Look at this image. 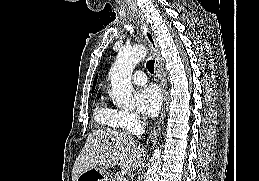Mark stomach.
Returning <instances> with one entry per match:
<instances>
[{
    "mask_svg": "<svg viewBox=\"0 0 259 181\" xmlns=\"http://www.w3.org/2000/svg\"><path fill=\"white\" fill-rule=\"evenodd\" d=\"M77 181H110V173L108 169L93 167L80 174Z\"/></svg>",
    "mask_w": 259,
    "mask_h": 181,
    "instance_id": "0dacf381",
    "label": "stomach"
}]
</instances>
